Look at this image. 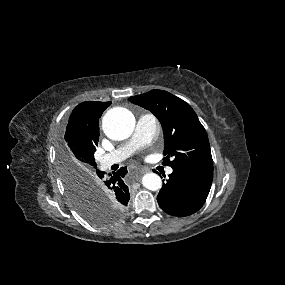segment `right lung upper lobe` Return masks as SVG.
<instances>
[{"instance_id":"obj_1","label":"right lung upper lobe","mask_w":285,"mask_h":285,"mask_svg":"<svg viewBox=\"0 0 285 285\" xmlns=\"http://www.w3.org/2000/svg\"><path fill=\"white\" fill-rule=\"evenodd\" d=\"M110 104L86 101L74 108L64 134V144L72 158L94 156L99 140V118Z\"/></svg>"}]
</instances>
